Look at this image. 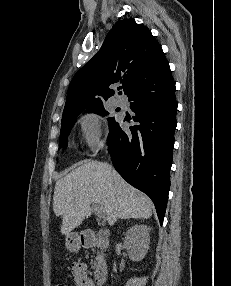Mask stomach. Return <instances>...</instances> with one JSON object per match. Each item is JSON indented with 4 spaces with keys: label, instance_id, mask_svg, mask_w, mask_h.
Masks as SVG:
<instances>
[{
    "label": "stomach",
    "instance_id": "stomach-1",
    "mask_svg": "<svg viewBox=\"0 0 231 286\" xmlns=\"http://www.w3.org/2000/svg\"><path fill=\"white\" fill-rule=\"evenodd\" d=\"M66 248L71 252H76L80 249V237L76 233H70L65 242Z\"/></svg>",
    "mask_w": 231,
    "mask_h": 286
}]
</instances>
